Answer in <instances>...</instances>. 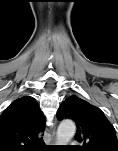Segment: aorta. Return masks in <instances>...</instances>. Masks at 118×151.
I'll return each instance as SVG.
<instances>
[{
  "mask_svg": "<svg viewBox=\"0 0 118 151\" xmlns=\"http://www.w3.org/2000/svg\"><path fill=\"white\" fill-rule=\"evenodd\" d=\"M75 132L76 125L73 121H62L57 129V145H68Z\"/></svg>",
  "mask_w": 118,
  "mask_h": 151,
  "instance_id": "762f6f07",
  "label": "aorta"
}]
</instances>
